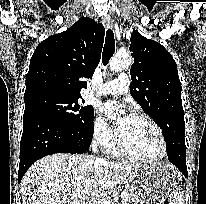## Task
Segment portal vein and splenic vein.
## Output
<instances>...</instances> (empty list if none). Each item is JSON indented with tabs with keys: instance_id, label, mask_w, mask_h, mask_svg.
<instances>
[{
	"instance_id": "obj_1",
	"label": "portal vein and splenic vein",
	"mask_w": 206,
	"mask_h": 204,
	"mask_svg": "<svg viewBox=\"0 0 206 204\" xmlns=\"http://www.w3.org/2000/svg\"><path fill=\"white\" fill-rule=\"evenodd\" d=\"M126 196H127L126 190L122 191V192H121V197H122V198H125Z\"/></svg>"
}]
</instances>
